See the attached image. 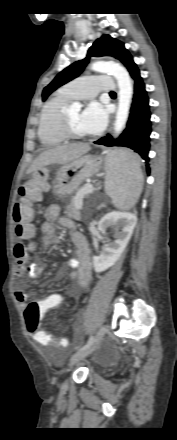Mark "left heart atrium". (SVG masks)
Wrapping results in <instances>:
<instances>
[{
  "mask_svg": "<svg viewBox=\"0 0 177 440\" xmlns=\"http://www.w3.org/2000/svg\"><path fill=\"white\" fill-rule=\"evenodd\" d=\"M107 117L106 108L94 101L81 112L79 125L85 134H98L105 128Z\"/></svg>",
  "mask_w": 177,
  "mask_h": 440,
  "instance_id": "left-heart-atrium-1",
  "label": "left heart atrium"
}]
</instances>
